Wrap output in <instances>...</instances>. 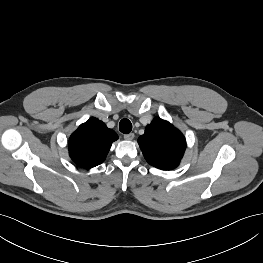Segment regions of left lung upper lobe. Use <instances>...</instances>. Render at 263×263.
I'll use <instances>...</instances> for the list:
<instances>
[{"mask_svg": "<svg viewBox=\"0 0 263 263\" xmlns=\"http://www.w3.org/2000/svg\"><path fill=\"white\" fill-rule=\"evenodd\" d=\"M138 143L147 162L162 170L176 168L186 148L183 134L160 118L153 119Z\"/></svg>", "mask_w": 263, "mask_h": 263, "instance_id": "1", "label": "left lung upper lobe"}]
</instances>
